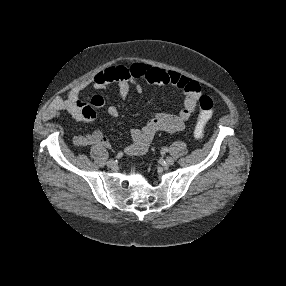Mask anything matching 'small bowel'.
Wrapping results in <instances>:
<instances>
[{"label":"small bowel","instance_id":"small-bowel-1","mask_svg":"<svg viewBox=\"0 0 286 286\" xmlns=\"http://www.w3.org/2000/svg\"><path fill=\"white\" fill-rule=\"evenodd\" d=\"M143 78L150 84L171 85L184 93L183 107L177 113L153 112L143 127L131 129V143L126 146L125 152L128 155L143 154L148 150L158 132H177L185 127L197 110V101L201 93V86L197 81L175 71L151 68L142 63H134L131 66H112L76 85L65 97L56 99L51 105L48 116L55 117L66 112L76 123L91 122L97 116L95 109L103 107L105 100L100 95H94L90 104L82 102L80 95L84 89L92 86L100 90L110 84H116L118 100H123L129 94L131 84L135 86L136 91H142L140 80ZM107 112L111 117H117L119 115L118 105L108 106ZM73 145L76 147L87 145L109 147L110 142L103 133L94 131L84 136L74 137Z\"/></svg>","mask_w":286,"mask_h":286}]
</instances>
